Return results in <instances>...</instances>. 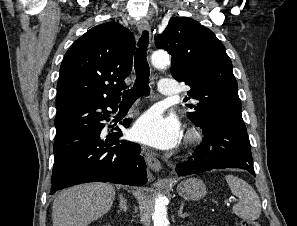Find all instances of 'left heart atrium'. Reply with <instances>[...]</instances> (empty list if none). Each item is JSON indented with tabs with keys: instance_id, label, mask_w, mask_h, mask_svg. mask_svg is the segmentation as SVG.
<instances>
[{
	"instance_id": "1",
	"label": "left heart atrium",
	"mask_w": 297,
	"mask_h": 226,
	"mask_svg": "<svg viewBox=\"0 0 297 226\" xmlns=\"http://www.w3.org/2000/svg\"><path fill=\"white\" fill-rule=\"evenodd\" d=\"M132 136L153 147L169 149L179 142L180 126L174 118H165L156 111H149L136 121Z\"/></svg>"
}]
</instances>
